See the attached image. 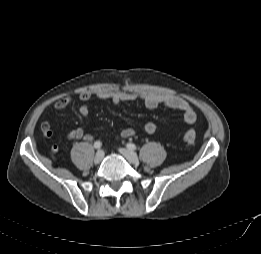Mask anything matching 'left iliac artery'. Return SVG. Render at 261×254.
Wrapping results in <instances>:
<instances>
[{"mask_svg": "<svg viewBox=\"0 0 261 254\" xmlns=\"http://www.w3.org/2000/svg\"><path fill=\"white\" fill-rule=\"evenodd\" d=\"M126 146L129 150H136V146L133 143H128Z\"/></svg>", "mask_w": 261, "mask_h": 254, "instance_id": "obj_1", "label": "left iliac artery"}]
</instances>
